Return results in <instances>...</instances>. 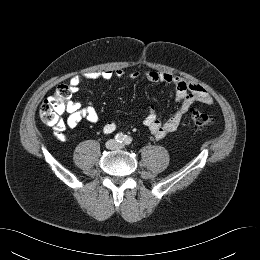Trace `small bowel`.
Returning <instances> with one entry per match:
<instances>
[{"instance_id":"obj_1","label":"small bowel","mask_w":260,"mask_h":260,"mask_svg":"<svg viewBox=\"0 0 260 260\" xmlns=\"http://www.w3.org/2000/svg\"><path fill=\"white\" fill-rule=\"evenodd\" d=\"M122 69H105L98 71H90L72 76L69 79V85L72 90H76L84 81H100L110 80L113 77L122 78L124 76ZM145 78L154 83H165L171 85L175 90V101L179 104L178 109L166 120L161 121L159 115L153 105L148 106V113L144 118V126L157 139H163L169 134L175 132L182 123L184 115L190 110L194 103L211 105L214 103V98L210 92L198 83L186 80L183 77L173 75L168 72H159L148 70L144 73ZM131 79H138L140 73L132 71L129 74ZM87 120L91 123H96L99 120V115L96 109L92 106H83L78 101H69L67 108L66 125L69 128H75L78 124ZM64 123L57 127L58 136L65 139L63 135ZM117 128L115 122H106L103 126V132L110 134Z\"/></svg>"}]
</instances>
